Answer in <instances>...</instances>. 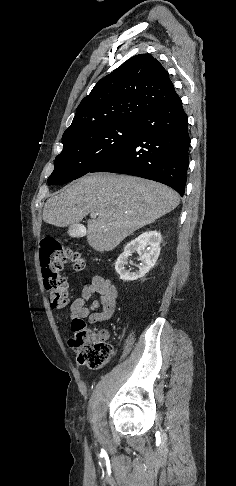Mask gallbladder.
<instances>
[{
	"mask_svg": "<svg viewBox=\"0 0 236 486\" xmlns=\"http://www.w3.org/2000/svg\"><path fill=\"white\" fill-rule=\"evenodd\" d=\"M83 226L80 224H71L68 229V234L72 237H79L82 235Z\"/></svg>",
	"mask_w": 236,
	"mask_h": 486,
	"instance_id": "1",
	"label": "gallbladder"
}]
</instances>
